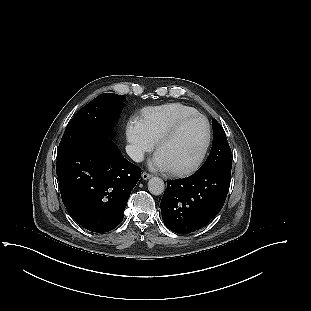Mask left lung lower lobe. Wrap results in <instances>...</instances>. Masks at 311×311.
I'll return each mask as SVG.
<instances>
[{
	"mask_svg": "<svg viewBox=\"0 0 311 311\" xmlns=\"http://www.w3.org/2000/svg\"><path fill=\"white\" fill-rule=\"evenodd\" d=\"M231 172L219 168L198 169L188 178L167 181L161 200L165 226L186 234L204 227L225 202Z\"/></svg>",
	"mask_w": 311,
	"mask_h": 311,
	"instance_id": "0a47b994",
	"label": "left lung lower lobe"
}]
</instances>
